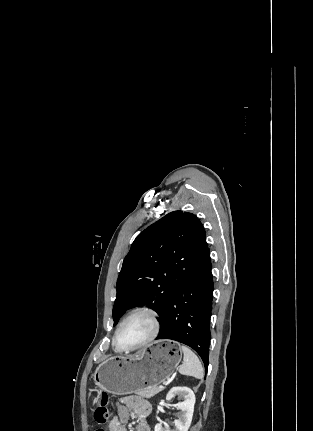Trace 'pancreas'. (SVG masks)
<instances>
[{
  "label": "pancreas",
  "instance_id": "1",
  "mask_svg": "<svg viewBox=\"0 0 313 431\" xmlns=\"http://www.w3.org/2000/svg\"><path fill=\"white\" fill-rule=\"evenodd\" d=\"M162 389L158 388V387H148L145 389H142L140 391L137 392L138 395L145 397V398H151L154 395H156L157 393H159Z\"/></svg>",
  "mask_w": 313,
  "mask_h": 431
}]
</instances>
